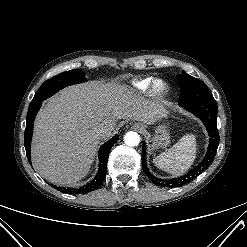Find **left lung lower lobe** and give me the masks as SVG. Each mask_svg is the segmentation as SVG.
I'll list each match as a JSON object with an SVG mask.
<instances>
[{"label":"left lung lower lobe","instance_id":"0a47b994","mask_svg":"<svg viewBox=\"0 0 247 247\" xmlns=\"http://www.w3.org/2000/svg\"><path fill=\"white\" fill-rule=\"evenodd\" d=\"M181 107H184L188 111L195 114L198 118L202 120L204 125L206 126V129L208 131V134L210 136V142L208 146L207 153L204 157V159L200 162L198 166L193 168L191 171H189L186 175L171 179V180H161L156 177H154L147 169L146 161H145V151H146V145L145 142H142L143 146V152H142V169L144 173L146 174L149 179L160 186L165 187H177L182 186L184 184H187L191 182L193 179H195L200 173H202L209 165L213 162L218 144H219V133L217 129L216 124V116H217V103L214 100V98H208L203 100H195L191 102H186L183 104H180Z\"/></svg>","mask_w":247,"mask_h":247}]
</instances>
